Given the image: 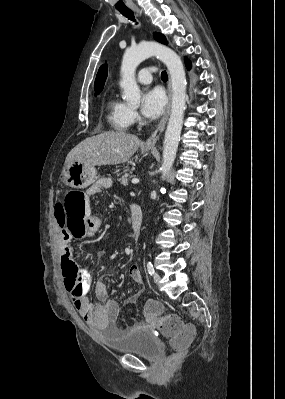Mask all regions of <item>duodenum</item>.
Wrapping results in <instances>:
<instances>
[{
    "instance_id": "1",
    "label": "duodenum",
    "mask_w": 285,
    "mask_h": 399,
    "mask_svg": "<svg viewBox=\"0 0 285 399\" xmlns=\"http://www.w3.org/2000/svg\"><path fill=\"white\" fill-rule=\"evenodd\" d=\"M143 216L142 209L140 206L135 205L131 208V227L134 233L135 239H138L139 233L142 228Z\"/></svg>"
}]
</instances>
